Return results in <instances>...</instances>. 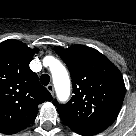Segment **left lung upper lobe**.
Segmentation results:
<instances>
[{"label":"left lung upper lobe","mask_w":136,"mask_h":136,"mask_svg":"<svg viewBox=\"0 0 136 136\" xmlns=\"http://www.w3.org/2000/svg\"><path fill=\"white\" fill-rule=\"evenodd\" d=\"M54 50L67 65L73 84L74 95L67 104L53 101L62 121L69 127L110 126L125 96L118 68L99 51L84 45Z\"/></svg>","instance_id":"5c2ea615"}]
</instances>
